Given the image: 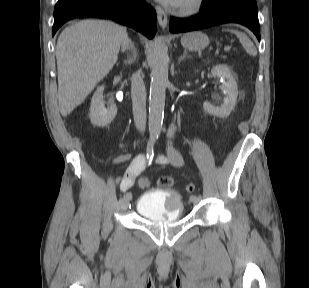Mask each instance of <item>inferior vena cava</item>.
Segmentation results:
<instances>
[{
    "label": "inferior vena cava",
    "instance_id": "obj_1",
    "mask_svg": "<svg viewBox=\"0 0 309 288\" xmlns=\"http://www.w3.org/2000/svg\"><path fill=\"white\" fill-rule=\"evenodd\" d=\"M129 43V40H127L122 45L123 51L128 47ZM131 97L135 125L139 131L143 132L146 128V90L139 73L133 74L131 78Z\"/></svg>",
    "mask_w": 309,
    "mask_h": 288
}]
</instances>
